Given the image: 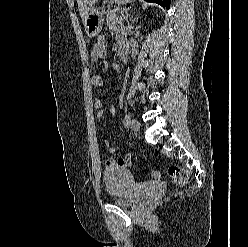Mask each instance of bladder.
<instances>
[{
  "mask_svg": "<svg viewBox=\"0 0 248 247\" xmlns=\"http://www.w3.org/2000/svg\"><path fill=\"white\" fill-rule=\"evenodd\" d=\"M105 189L111 200L120 206H131L141 196L137 194L138 184L133 174L122 167H112L103 172Z\"/></svg>",
  "mask_w": 248,
  "mask_h": 247,
  "instance_id": "31cf9c89",
  "label": "bladder"
}]
</instances>
